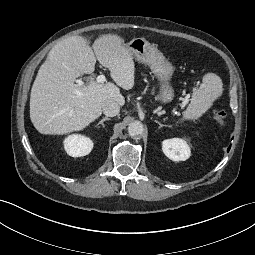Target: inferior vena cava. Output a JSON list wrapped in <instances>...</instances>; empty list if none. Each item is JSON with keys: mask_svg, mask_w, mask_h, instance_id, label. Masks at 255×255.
<instances>
[{"mask_svg": "<svg viewBox=\"0 0 255 255\" xmlns=\"http://www.w3.org/2000/svg\"><path fill=\"white\" fill-rule=\"evenodd\" d=\"M102 111L106 116L114 117L118 115L120 106L113 100H106L102 103Z\"/></svg>", "mask_w": 255, "mask_h": 255, "instance_id": "inferior-vena-cava-1", "label": "inferior vena cava"}]
</instances>
